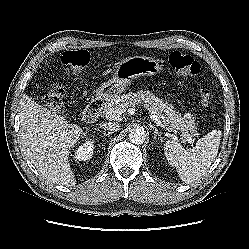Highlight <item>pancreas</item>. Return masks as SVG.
<instances>
[{"mask_svg":"<svg viewBox=\"0 0 249 249\" xmlns=\"http://www.w3.org/2000/svg\"><path fill=\"white\" fill-rule=\"evenodd\" d=\"M135 104H143L147 110L156 114L164 125L172 127L176 133L179 132L183 142L190 141L198 133L195 118L191 114L183 115L177 112L172 104L164 103L162 99L155 97L149 91H130L127 94L116 96L103 106V110L107 112L109 109L117 107L124 112Z\"/></svg>","mask_w":249,"mask_h":249,"instance_id":"pancreas-1","label":"pancreas"}]
</instances>
